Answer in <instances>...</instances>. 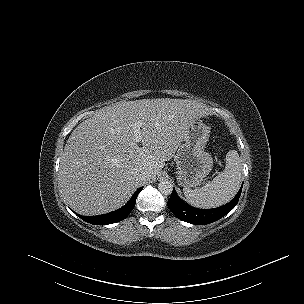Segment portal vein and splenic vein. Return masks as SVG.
Here are the masks:
<instances>
[{"label": "portal vein and splenic vein", "mask_w": 304, "mask_h": 304, "mask_svg": "<svg viewBox=\"0 0 304 304\" xmlns=\"http://www.w3.org/2000/svg\"><path fill=\"white\" fill-rule=\"evenodd\" d=\"M142 126V123L140 122H136L133 125V129H134V138L136 142H140L141 140V132H140V128Z\"/></svg>", "instance_id": "1"}]
</instances>
